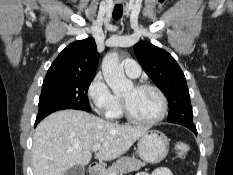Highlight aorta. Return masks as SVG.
Segmentation results:
<instances>
[{"label": "aorta", "instance_id": "1", "mask_svg": "<svg viewBox=\"0 0 233 175\" xmlns=\"http://www.w3.org/2000/svg\"><path fill=\"white\" fill-rule=\"evenodd\" d=\"M102 72L106 83L114 93L124 92L133 86V83L125 77L117 52L105 55L102 61Z\"/></svg>", "mask_w": 233, "mask_h": 175}]
</instances>
